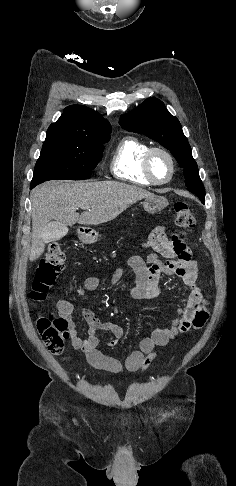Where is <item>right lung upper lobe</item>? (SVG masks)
Wrapping results in <instances>:
<instances>
[{
    "label": "right lung upper lobe",
    "mask_w": 236,
    "mask_h": 486,
    "mask_svg": "<svg viewBox=\"0 0 236 486\" xmlns=\"http://www.w3.org/2000/svg\"><path fill=\"white\" fill-rule=\"evenodd\" d=\"M110 132L109 122L99 113L83 105H71L64 109L57 122L49 126L47 135H65L97 141L110 137Z\"/></svg>",
    "instance_id": "1"
}]
</instances>
